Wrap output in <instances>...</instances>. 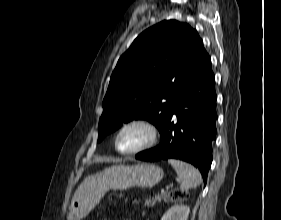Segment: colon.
<instances>
[{"mask_svg": "<svg viewBox=\"0 0 281 220\" xmlns=\"http://www.w3.org/2000/svg\"><path fill=\"white\" fill-rule=\"evenodd\" d=\"M187 193L182 190H173L168 194V198L173 201H182L187 198Z\"/></svg>", "mask_w": 281, "mask_h": 220, "instance_id": "obj_1", "label": "colon"}]
</instances>
